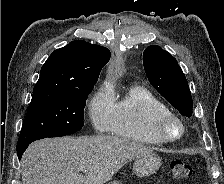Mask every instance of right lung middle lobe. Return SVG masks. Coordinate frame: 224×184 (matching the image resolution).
Returning <instances> with one entry per match:
<instances>
[{
    "mask_svg": "<svg viewBox=\"0 0 224 184\" xmlns=\"http://www.w3.org/2000/svg\"><path fill=\"white\" fill-rule=\"evenodd\" d=\"M92 88L33 91L17 146L46 137L73 134L84 125V107Z\"/></svg>",
    "mask_w": 224,
    "mask_h": 184,
    "instance_id": "1",
    "label": "right lung middle lobe"
}]
</instances>
